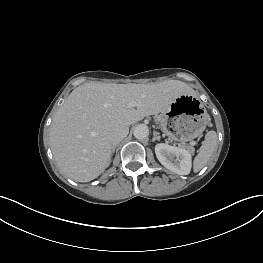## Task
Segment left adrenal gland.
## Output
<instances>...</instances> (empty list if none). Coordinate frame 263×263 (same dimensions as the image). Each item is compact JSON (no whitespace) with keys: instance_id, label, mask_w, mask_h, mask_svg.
Masks as SVG:
<instances>
[{"instance_id":"a2214340","label":"left adrenal gland","mask_w":263,"mask_h":263,"mask_svg":"<svg viewBox=\"0 0 263 263\" xmlns=\"http://www.w3.org/2000/svg\"><path fill=\"white\" fill-rule=\"evenodd\" d=\"M153 135H154L153 139H152L153 142L156 140H158V141L160 140V136H158L156 132H153Z\"/></svg>"}]
</instances>
